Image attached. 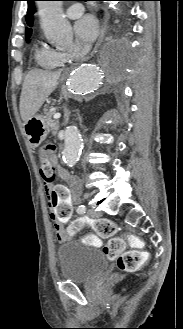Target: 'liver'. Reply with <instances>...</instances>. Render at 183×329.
Wrapping results in <instances>:
<instances>
[{
	"mask_svg": "<svg viewBox=\"0 0 183 329\" xmlns=\"http://www.w3.org/2000/svg\"><path fill=\"white\" fill-rule=\"evenodd\" d=\"M59 77V72L39 69H33L26 75L20 96V114L24 122L40 109L57 86Z\"/></svg>",
	"mask_w": 183,
	"mask_h": 329,
	"instance_id": "6515ba94",
	"label": "liver"
}]
</instances>
